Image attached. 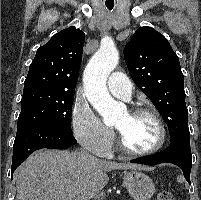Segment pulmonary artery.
Segmentation results:
<instances>
[{
  "instance_id": "e3ab8cb5",
  "label": "pulmonary artery",
  "mask_w": 201,
  "mask_h": 200,
  "mask_svg": "<svg viewBox=\"0 0 201 200\" xmlns=\"http://www.w3.org/2000/svg\"><path fill=\"white\" fill-rule=\"evenodd\" d=\"M108 89L115 97L127 100L132 95L133 85L125 75L114 72L109 76Z\"/></svg>"
}]
</instances>
